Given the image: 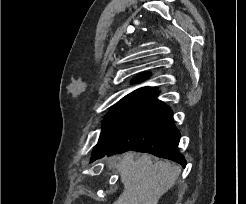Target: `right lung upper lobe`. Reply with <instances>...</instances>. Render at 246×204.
<instances>
[{"instance_id": "obj_1", "label": "right lung upper lobe", "mask_w": 246, "mask_h": 204, "mask_svg": "<svg viewBox=\"0 0 246 204\" xmlns=\"http://www.w3.org/2000/svg\"><path fill=\"white\" fill-rule=\"evenodd\" d=\"M148 77L147 74L144 75H140L136 78V81H142L144 79H146ZM156 91V88L153 87H144V88H140L135 90L134 92L128 94L127 96H125L123 99H121L120 101H133L136 102L144 97H146L147 95L153 93Z\"/></svg>"}]
</instances>
